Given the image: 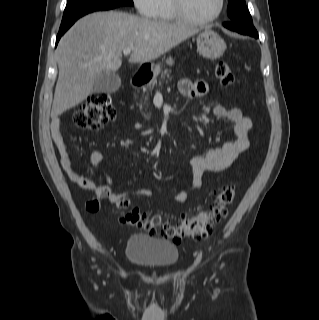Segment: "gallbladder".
<instances>
[{"label": "gallbladder", "instance_id": "bac80fb5", "mask_svg": "<svg viewBox=\"0 0 319 320\" xmlns=\"http://www.w3.org/2000/svg\"><path fill=\"white\" fill-rule=\"evenodd\" d=\"M121 86L120 77L113 73L104 71L94 81L93 93H113Z\"/></svg>", "mask_w": 319, "mask_h": 320}]
</instances>
